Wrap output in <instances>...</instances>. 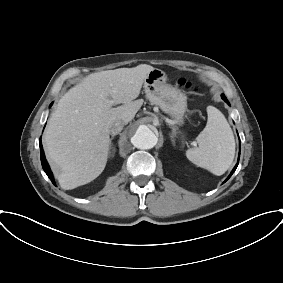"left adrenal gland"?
Returning a JSON list of instances; mask_svg holds the SVG:
<instances>
[{"mask_svg":"<svg viewBox=\"0 0 283 283\" xmlns=\"http://www.w3.org/2000/svg\"><path fill=\"white\" fill-rule=\"evenodd\" d=\"M176 134H177L176 130L174 128H172V133H171L170 137H171V141L173 143H175V139L174 138L176 137Z\"/></svg>","mask_w":283,"mask_h":283,"instance_id":"a2214340","label":"left adrenal gland"}]
</instances>
